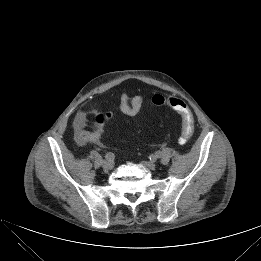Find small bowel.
<instances>
[{
	"instance_id": "small-bowel-1",
	"label": "small bowel",
	"mask_w": 261,
	"mask_h": 261,
	"mask_svg": "<svg viewBox=\"0 0 261 261\" xmlns=\"http://www.w3.org/2000/svg\"><path fill=\"white\" fill-rule=\"evenodd\" d=\"M144 103L142 95L130 97L127 92L120 95V111L127 116L137 115ZM105 115L98 113L95 116L92 130H88L87 126L90 124L89 114L86 111H80L73 121V130L76 142L79 145H84L87 142H92L98 145L102 144V137L105 129Z\"/></svg>"
}]
</instances>
